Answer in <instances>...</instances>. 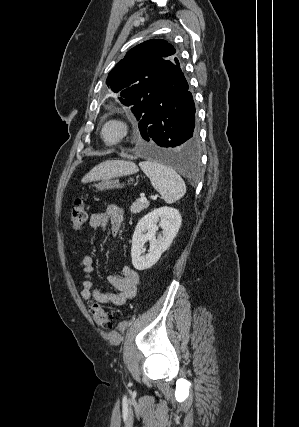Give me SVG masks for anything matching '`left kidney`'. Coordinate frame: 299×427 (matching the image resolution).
Returning <instances> with one entry per match:
<instances>
[{
	"instance_id": "left-kidney-1",
	"label": "left kidney",
	"mask_w": 299,
	"mask_h": 427,
	"mask_svg": "<svg viewBox=\"0 0 299 427\" xmlns=\"http://www.w3.org/2000/svg\"><path fill=\"white\" fill-rule=\"evenodd\" d=\"M181 221L179 211L167 206L154 209L139 220L131 247L132 264L135 269L140 271L148 269L159 260L176 237ZM159 226L162 233L156 237ZM147 241L150 242V248L149 252L144 254L142 249Z\"/></svg>"
}]
</instances>
